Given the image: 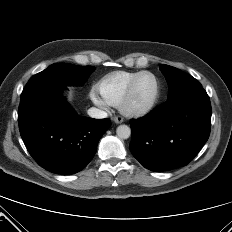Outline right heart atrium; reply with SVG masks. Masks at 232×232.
Wrapping results in <instances>:
<instances>
[{"label": "right heart atrium", "instance_id": "obj_1", "mask_svg": "<svg viewBox=\"0 0 232 232\" xmlns=\"http://www.w3.org/2000/svg\"><path fill=\"white\" fill-rule=\"evenodd\" d=\"M90 96H91L92 101L95 104H97L103 108L106 107V103L103 100H101L94 92H92Z\"/></svg>", "mask_w": 232, "mask_h": 232}]
</instances>
